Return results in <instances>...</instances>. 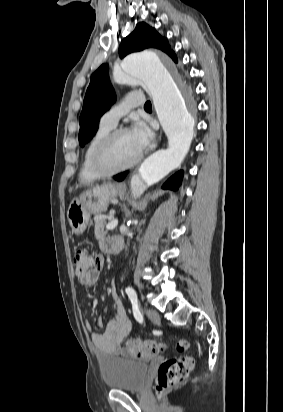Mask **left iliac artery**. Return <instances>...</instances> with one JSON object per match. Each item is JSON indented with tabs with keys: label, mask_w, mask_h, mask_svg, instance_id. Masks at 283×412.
Wrapping results in <instances>:
<instances>
[{
	"label": "left iliac artery",
	"mask_w": 283,
	"mask_h": 412,
	"mask_svg": "<svg viewBox=\"0 0 283 412\" xmlns=\"http://www.w3.org/2000/svg\"><path fill=\"white\" fill-rule=\"evenodd\" d=\"M125 292L127 293L128 297L131 301L132 309H133V315H134L135 319L139 323H142L143 322V317H142V314H141L140 309H139L138 298H137V294H136L135 290L131 287H127L125 289Z\"/></svg>",
	"instance_id": "44dca946"
}]
</instances>
